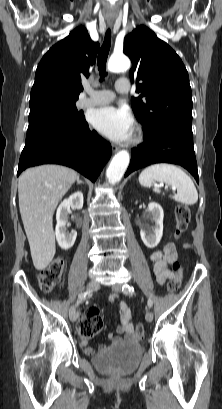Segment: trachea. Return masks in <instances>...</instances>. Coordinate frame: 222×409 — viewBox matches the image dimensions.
I'll return each instance as SVG.
<instances>
[{
	"label": "trachea",
	"mask_w": 222,
	"mask_h": 409,
	"mask_svg": "<svg viewBox=\"0 0 222 409\" xmlns=\"http://www.w3.org/2000/svg\"><path fill=\"white\" fill-rule=\"evenodd\" d=\"M111 46V30L107 29L103 45L99 51L97 65L100 74V79L103 80L104 77L107 75L106 73V62L109 54Z\"/></svg>",
	"instance_id": "1"
}]
</instances>
